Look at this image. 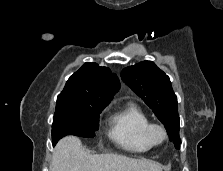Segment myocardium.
I'll use <instances>...</instances> for the list:
<instances>
[{
	"label": "myocardium",
	"mask_w": 223,
	"mask_h": 171,
	"mask_svg": "<svg viewBox=\"0 0 223 171\" xmlns=\"http://www.w3.org/2000/svg\"><path fill=\"white\" fill-rule=\"evenodd\" d=\"M159 132L160 137L157 138L155 133ZM146 137L152 145H160L167 139V130L159 123L150 122L145 130Z\"/></svg>",
	"instance_id": "myocardium-1"
}]
</instances>
